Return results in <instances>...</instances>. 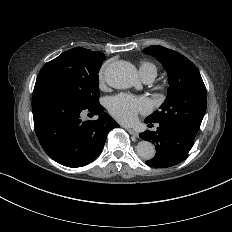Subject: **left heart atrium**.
Here are the masks:
<instances>
[{"label": "left heart atrium", "instance_id": "left-heart-atrium-1", "mask_svg": "<svg viewBox=\"0 0 232 232\" xmlns=\"http://www.w3.org/2000/svg\"><path fill=\"white\" fill-rule=\"evenodd\" d=\"M108 108L118 121L130 124L135 121L139 113L149 111V104L144 98L121 94L111 98Z\"/></svg>", "mask_w": 232, "mask_h": 232}]
</instances>
